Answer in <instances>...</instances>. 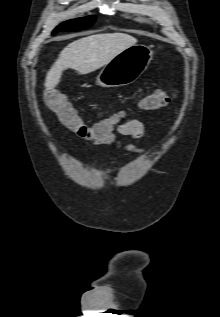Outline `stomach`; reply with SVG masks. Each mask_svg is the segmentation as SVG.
I'll return each mask as SVG.
<instances>
[{
  "mask_svg": "<svg viewBox=\"0 0 220 317\" xmlns=\"http://www.w3.org/2000/svg\"><path fill=\"white\" fill-rule=\"evenodd\" d=\"M151 60V49L135 44L106 64L96 77V82L102 87H119L134 83L147 69Z\"/></svg>",
  "mask_w": 220,
  "mask_h": 317,
  "instance_id": "0dacf381",
  "label": "stomach"
}]
</instances>
